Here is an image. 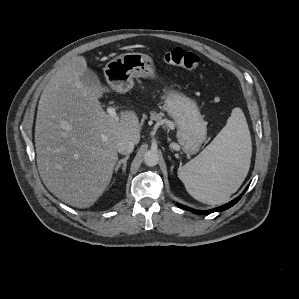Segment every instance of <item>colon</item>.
<instances>
[{
  "label": "colon",
  "instance_id": "colon-1",
  "mask_svg": "<svg viewBox=\"0 0 299 299\" xmlns=\"http://www.w3.org/2000/svg\"><path fill=\"white\" fill-rule=\"evenodd\" d=\"M163 59L167 64L187 70H196L200 67V58L196 54L179 47L167 51Z\"/></svg>",
  "mask_w": 299,
  "mask_h": 299
}]
</instances>
